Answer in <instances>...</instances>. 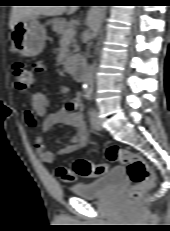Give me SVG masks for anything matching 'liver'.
<instances>
[{
	"label": "liver",
	"mask_w": 170,
	"mask_h": 231,
	"mask_svg": "<svg viewBox=\"0 0 170 231\" xmlns=\"http://www.w3.org/2000/svg\"><path fill=\"white\" fill-rule=\"evenodd\" d=\"M77 10V6H13L9 26L13 30L14 26L27 17L39 15L56 16L63 13L72 14Z\"/></svg>",
	"instance_id": "1"
}]
</instances>
